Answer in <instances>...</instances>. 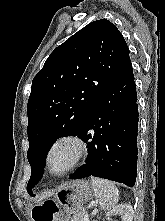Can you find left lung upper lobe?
<instances>
[{"mask_svg":"<svg viewBox=\"0 0 165 221\" xmlns=\"http://www.w3.org/2000/svg\"><path fill=\"white\" fill-rule=\"evenodd\" d=\"M129 58L117 27L106 19L91 22L47 58L32 81L28 112L27 191L42 179L45 158L55 141L76 135L91 109Z\"/></svg>","mask_w":165,"mask_h":221,"instance_id":"obj_1","label":"left lung upper lobe"}]
</instances>
